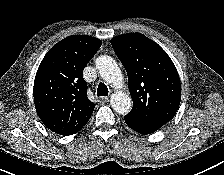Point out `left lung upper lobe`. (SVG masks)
Segmentation results:
<instances>
[{"instance_id":"obj_1","label":"left lung upper lobe","mask_w":224,"mask_h":175,"mask_svg":"<svg viewBox=\"0 0 224 175\" xmlns=\"http://www.w3.org/2000/svg\"><path fill=\"white\" fill-rule=\"evenodd\" d=\"M113 49L128 75L133 108L125 118L143 123H167L181 101V83L167 53L141 33L116 36Z\"/></svg>"}]
</instances>
